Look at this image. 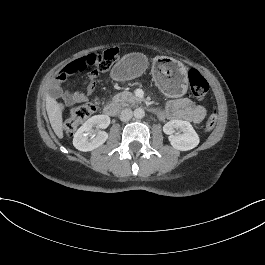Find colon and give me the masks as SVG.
<instances>
[{"label": "colon", "instance_id": "colon-1", "mask_svg": "<svg viewBox=\"0 0 265 265\" xmlns=\"http://www.w3.org/2000/svg\"><path fill=\"white\" fill-rule=\"evenodd\" d=\"M117 53V50L112 48L103 53L85 55L62 68L58 73V79L65 80L67 77L86 69H93L94 71L100 72L107 71L114 64ZM188 80L192 95L197 99H204L209 92V83L207 80L195 69L189 70ZM97 106L98 101L92 100L71 109L68 117L64 121V130L66 133L73 134L77 128L96 111ZM216 122L217 110L214 109L206 121L205 131H212Z\"/></svg>", "mask_w": 265, "mask_h": 265}]
</instances>
